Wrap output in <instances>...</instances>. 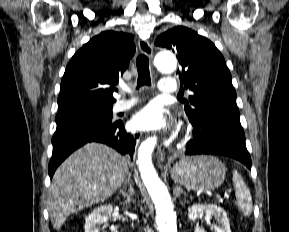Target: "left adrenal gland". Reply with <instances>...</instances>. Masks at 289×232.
I'll use <instances>...</instances> for the list:
<instances>
[{"label": "left adrenal gland", "instance_id": "left-adrenal-gland-1", "mask_svg": "<svg viewBox=\"0 0 289 232\" xmlns=\"http://www.w3.org/2000/svg\"><path fill=\"white\" fill-rule=\"evenodd\" d=\"M181 193L185 194V192H183V189L180 186H176L173 191L174 196L177 198L180 196Z\"/></svg>", "mask_w": 289, "mask_h": 232}]
</instances>
